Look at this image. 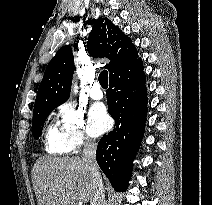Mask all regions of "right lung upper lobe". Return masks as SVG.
<instances>
[{
    "label": "right lung upper lobe",
    "mask_w": 212,
    "mask_h": 205,
    "mask_svg": "<svg viewBox=\"0 0 212 205\" xmlns=\"http://www.w3.org/2000/svg\"><path fill=\"white\" fill-rule=\"evenodd\" d=\"M87 47L91 56L110 59V63L106 65L110 75L138 58V52L131 39L107 18H99L93 22ZM73 71L72 49L70 45H66L61 47L48 63L34 109L66 102L70 95Z\"/></svg>",
    "instance_id": "right-lung-upper-lobe-1"
}]
</instances>
